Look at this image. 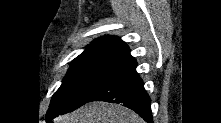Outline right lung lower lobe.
I'll return each instance as SVG.
<instances>
[{"mask_svg":"<svg viewBox=\"0 0 221 123\" xmlns=\"http://www.w3.org/2000/svg\"><path fill=\"white\" fill-rule=\"evenodd\" d=\"M136 66V60L132 58L101 82L90 95L88 102L106 101L122 104L136 111L145 121L152 123L150 98L136 72ZM59 114L47 112L46 119L51 120Z\"/></svg>","mask_w":221,"mask_h":123,"instance_id":"98d812e1","label":"right lung lower lobe"}]
</instances>
